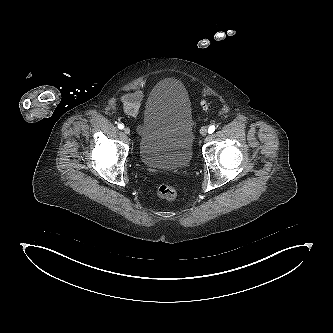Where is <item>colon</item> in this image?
I'll return each mask as SVG.
<instances>
[{
    "label": "colon",
    "instance_id": "1",
    "mask_svg": "<svg viewBox=\"0 0 333 333\" xmlns=\"http://www.w3.org/2000/svg\"><path fill=\"white\" fill-rule=\"evenodd\" d=\"M201 105L204 108H207L209 106V103L206 101H202ZM157 194H158L159 198L166 200V201H172L177 196L176 190L172 186L167 185V184L160 185L158 187Z\"/></svg>",
    "mask_w": 333,
    "mask_h": 333
}]
</instances>
